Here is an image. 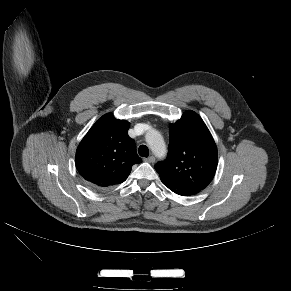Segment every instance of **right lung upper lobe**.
Listing matches in <instances>:
<instances>
[{
  "mask_svg": "<svg viewBox=\"0 0 291 291\" xmlns=\"http://www.w3.org/2000/svg\"><path fill=\"white\" fill-rule=\"evenodd\" d=\"M129 122L102 116L88 131L76 151L80 175L96 188L124 182L133 164L141 163L135 141L128 136Z\"/></svg>",
  "mask_w": 291,
  "mask_h": 291,
  "instance_id": "obj_1",
  "label": "right lung upper lobe"
}]
</instances>
